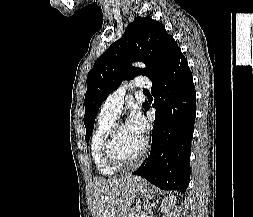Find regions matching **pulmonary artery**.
I'll list each match as a JSON object with an SVG mask.
<instances>
[{
    "label": "pulmonary artery",
    "instance_id": "1",
    "mask_svg": "<svg viewBox=\"0 0 253 217\" xmlns=\"http://www.w3.org/2000/svg\"><path fill=\"white\" fill-rule=\"evenodd\" d=\"M131 86L137 89L148 90L151 87V82L147 78L136 77ZM126 90L127 86L123 85L111 93L104 101L101 111L117 117L122 111Z\"/></svg>",
    "mask_w": 253,
    "mask_h": 217
}]
</instances>
